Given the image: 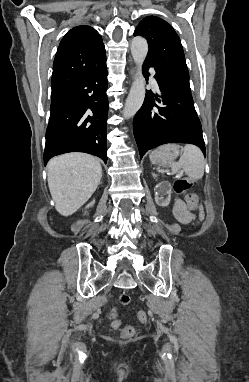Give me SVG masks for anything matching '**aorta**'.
<instances>
[{
    "mask_svg": "<svg viewBox=\"0 0 249 382\" xmlns=\"http://www.w3.org/2000/svg\"><path fill=\"white\" fill-rule=\"evenodd\" d=\"M148 53V43L145 38L137 36L131 42V54L137 65V73L131 86L123 109V117L129 119L140 109L145 98V79L142 74V64Z\"/></svg>",
    "mask_w": 249,
    "mask_h": 382,
    "instance_id": "762f6f07",
    "label": "aorta"
}]
</instances>
